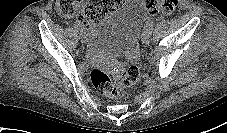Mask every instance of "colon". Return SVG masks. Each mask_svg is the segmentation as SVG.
<instances>
[{
    "mask_svg": "<svg viewBox=\"0 0 227 133\" xmlns=\"http://www.w3.org/2000/svg\"><path fill=\"white\" fill-rule=\"evenodd\" d=\"M123 0H57V14L65 19L77 17L84 25H93L122 4ZM150 14L170 15L177 6V0H147ZM93 86L103 95L122 99L130 95L131 89L140 80V71L134 64L110 75L100 69L90 73Z\"/></svg>",
    "mask_w": 227,
    "mask_h": 133,
    "instance_id": "5ec220e1",
    "label": "colon"
}]
</instances>
